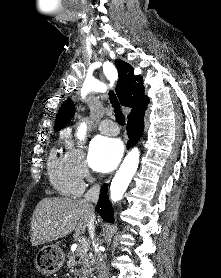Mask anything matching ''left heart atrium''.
I'll return each mask as SVG.
<instances>
[{"instance_id":"left-heart-atrium-1","label":"left heart atrium","mask_w":221,"mask_h":278,"mask_svg":"<svg viewBox=\"0 0 221 278\" xmlns=\"http://www.w3.org/2000/svg\"><path fill=\"white\" fill-rule=\"evenodd\" d=\"M123 145L119 139L98 136L90 144L89 160L94 170L111 172L119 163Z\"/></svg>"}]
</instances>
